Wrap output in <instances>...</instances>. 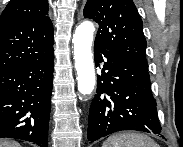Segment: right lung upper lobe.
<instances>
[{
  "label": "right lung upper lobe",
  "mask_w": 183,
  "mask_h": 147,
  "mask_svg": "<svg viewBox=\"0 0 183 147\" xmlns=\"http://www.w3.org/2000/svg\"><path fill=\"white\" fill-rule=\"evenodd\" d=\"M47 0H11L0 17V73L53 51Z\"/></svg>",
  "instance_id": "obj_1"
}]
</instances>
